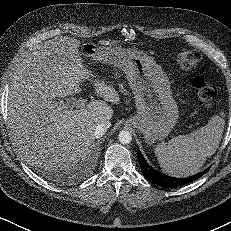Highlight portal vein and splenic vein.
<instances>
[{"label":"portal vein and splenic vein","instance_id":"obj_1","mask_svg":"<svg viewBox=\"0 0 231 231\" xmlns=\"http://www.w3.org/2000/svg\"><path fill=\"white\" fill-rule=\"evenodd\" d=\"M87 100L86 99H76L73 98L72 101L64 103L63 101H59L58 104L61 109H69L72 110L73 108L81 109L85 106Z\"/></svg>","mask_w":231,"mask_h":231}]
</instances>
